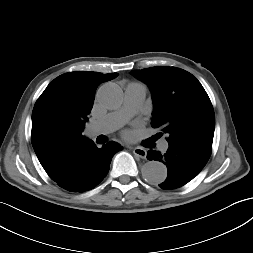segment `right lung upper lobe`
Segmentation results:
<instances>
[{
    "label": "right lung upper lobe",
    "instance_id": "1",
    "mask_svg": "<svg viewBox=\"0 0 253 253\" xmlns=\"http://www.w3.org/2000/svg\"><path fill=\"white\" fill-rule=\"evenodd\" d=\"M117 76L118 73H65L50 82L36 101L31 141L41 165L53 181L66 180L75 154L94 144L82 132L93 107L96 88Z\"/></svg>",
    "mask_w": 253,
    "mask_h": 253
}]
</instances>
